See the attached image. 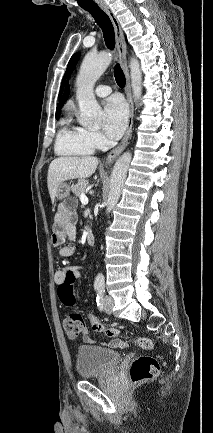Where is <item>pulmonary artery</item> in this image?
Returning a JSON list of instances; mask_svg holds the SVG:
<instances>
[{"instance_id": "pulmonary-artery-1", "label": "pulmonary artery", "mask_w": 213, "mask_h": 433, "mask_svg": "<svg viewBox=\"0 0 213 433\" xmlns=\"http://www.w3.org/2000/svg\"><path fill=\"white\" fill-rule=\"evenodd\" d=\"M111 93V88L107 85H99L95 89V94L99 97H106Z\"/></svg>"}]
</instances>
